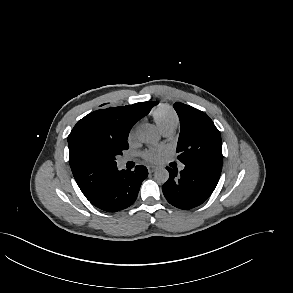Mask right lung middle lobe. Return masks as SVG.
I'll return each instance as SVG.
<instances>
[{"instance_id":"dd1d6c3e","label":"right lung middle lobe","mask_w":293,"mask_h":293,"mask_svg":"<svg viewBox=\"0 0 293 293\" xmlns=\"http://www.w3.org/2000/svg\"><path fill=\"white\" fill-rule=\"evenodd\" d=\"M128 149L127 139H125L120 144H112L107 147L105 154L109 157L112 161H115V157L117 155H121L123 150Z\"/></svg>"}]
</instances>
